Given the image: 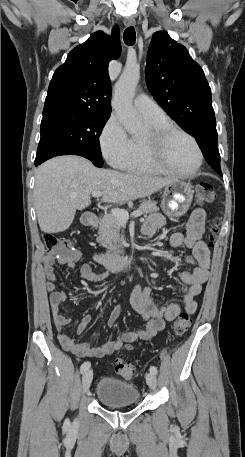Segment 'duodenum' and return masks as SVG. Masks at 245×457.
Returning a JSON list of instances; mask_svg holds the SVG:
<instances>
[{"label":"duodenum","instance_id":"410a0bca","mask_svg":"<svg viewBox=\"0 0 245 457\" xmlns=\"http://www.w3.org/2000/svg\"><path fill=\"white\" fill-rule=\"evenodd\" d=\"M97 223V216L89 214L84 217V224L93 226ZM98 261L112 272H120L131 269L137 263V259L127 255H99Z\"/></svg>","mask_w":245,"mask_h":457}]
</instances>
